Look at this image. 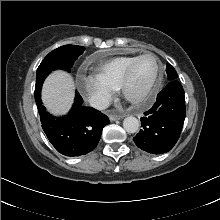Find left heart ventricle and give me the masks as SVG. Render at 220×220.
<instances>
[{"label": "left heart ventricle", "mask_w": 220, "mask_h": 220, "mask_svg": "<svg viewBox=\"0 0 220 220\" xmlns=\"http://www.w3.org/2000/svg\"><path fill=\"white\" fill-rule=\"evenodd\" d=\"M157 71V62L152 56L142 58L136 65L131 83L128 88L129 95L140 96L153 81Z\"/></svg>", "instance_id": "obj_1"}]
</instances>
